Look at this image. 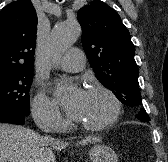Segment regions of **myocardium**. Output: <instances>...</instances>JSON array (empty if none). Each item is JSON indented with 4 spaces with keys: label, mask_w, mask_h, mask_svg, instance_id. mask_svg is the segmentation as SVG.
<instances>
[{
    "label": "myocardium",
    "mask_w": 168,
    "mask_h": 162,
    "mask_svg": "<svg viewBox=\"0 0 168 162\" xmlns=\"http://www.w3.org/2000/svg\"><path fill=\"white\" fill-rule=\"evenodd\" d=\"M89 92H100V93L105 94L109 98L111 105H112L111 113L109 117L105 119L104 121H102L101 123L88 124V123H83V122L78 121L77 124L83 129L88 130V131H92V132L103 131L111 127L118 120L120 113H121V102L119 98L117 97V95L111 89L103 85L92 86L89 89Z\"/></svg>",
    "instance_id": "1"
}]
</instances>
